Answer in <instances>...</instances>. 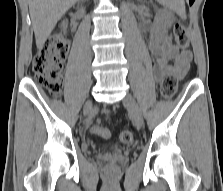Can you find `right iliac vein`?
<instances>
[{
    "instance_id": "63e3f726",
    "label": "right iliac vein",
    "mask_w": 223,
    "mask_h": 191,
    "mask_svg": "<svg viewBox=\"0 0 223 191\" xmlns=\"http://www.w3.org/2000/svg\"><path fill=\"white\" fill-rule=\"evenodd\" d=\"M91 108H92V102L89 101L85 105V109H84L85 110V113L88 114L90 112Z\"/></svg>"
}]
</instances>
